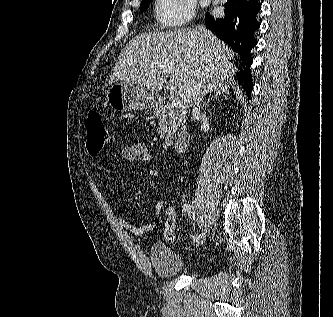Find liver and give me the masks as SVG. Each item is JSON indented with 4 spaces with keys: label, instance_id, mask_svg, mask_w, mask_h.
<instances>
[{
    "label": "liver",
    "instance_id": "liver-1",
    "mask_svg": "<svg viewBox=\"0 0 333 317\" xmlns=\"http://www.w3.org/2000/svg\"><path fill=\"white\" fill-rule=\"evenodd\" d=\"M233 56L224 42L205 29L141 33L121 50L109 83L126 80L151 91L166 85L187 109L201 89L207 94L229 87L226 79L236 70L230 62Z\"/></svg>",
    "mask_w": 333,
    "mask_h": 317
}]
</instances>
